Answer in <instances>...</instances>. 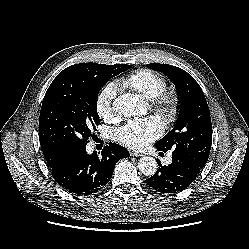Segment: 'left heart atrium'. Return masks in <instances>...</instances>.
Wrapping results in <instances>:
<instances>
[{"mask_svg": "<svg viewBox=\"0 0 249 249\" xmlns=\"http://www.w3.org/2000/svg\"><path fill=\"white\" fill-rule=\"evenodd\" d=\"M163 131V125L158 117L150 116L143 119L130 120L120 127L115 138L121 144L135 150L145 148L158 138Z\"/></svg>", "mask_w": 249, "mask_h": 249, "instance_id": "left-heart-atrium-1", "label": "left heart atrium"}]
</instances>
